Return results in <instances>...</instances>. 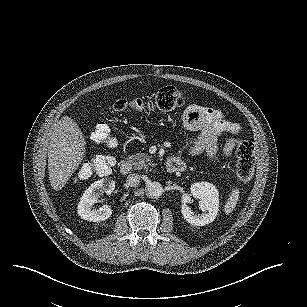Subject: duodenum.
Here are the masks:
<instances>
[{"label":"duodenum","mask_w":307,"mask_h":307,"mask_svg":"<svg viewBox=\"0 0 307 307\" xmlns=\"http://www.w3.org/2000/svg\"><path fill=\"white\" fill-rule=\"evenodd\" d=\"M166 169L169 173L180 172L184 169V164L176 158H170L166 163ZM132 170V164L130 161H124L120 166V172L123 175H127Z\"/></svg>","instance_id":"duodenum-1"}]
</instances>
